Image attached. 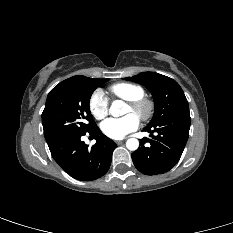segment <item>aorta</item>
I'll list each match as a JSON object with an SVG mask.
<instances>
[{
	"label": "aorta",
	"mask_w": 233,
	"mask_h": 233,
	"mask_svg": "<svg viewBox=\"0 0 233 233\" xmlns=\"http://www.w3.org/2000/svg\"><path fill=\"white\" fill-rule=\"evenodd\" d=\"M123 107V102L116 100L112 103L110 107V114L114 117H119L123 115V111L121 110ZM127 149L131 151H135L139 147V141L136 138H130L126 142Z\"/></svg>",
	"instance_id": "obj_1"
}]
</instances>
